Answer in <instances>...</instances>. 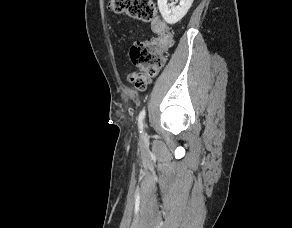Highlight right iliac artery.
Instances as JSON below:
<instances>
[{
	"label": "right iliac artery",
	"mask_w": 292,
	"mask_h": 228,
	"mask_svg": "<svg viewBox=\"0 0 292 228\" xmlns=\"http://www.w3.org/2000/svg\"><path fill=\"white\" fill-rule=\"evenodd\" d=\"M144 118H145V110H142L139 114V118H138V127L140 129V132L142 133L143 131V122H144Z\"/></svg>",
	"instance_id": "obj_1"
}]
</instances>
